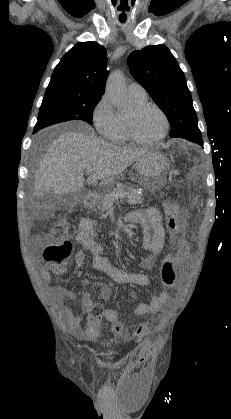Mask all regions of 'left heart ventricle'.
<instances>
[{"instance_id": "1", "label": "left heart ventricle", "mask_w": 231, "mask_h": 419, "mask_svg": "<svg viewBox=\"0 0 231 419\" xmlns=\"http://www.w3.org/2000/svg\"><path fill=\"white\" fill-rule=\"evenodd\" d=\"M135 129L143 139H154L164 130V120L154 109H147L135 117Z\"/></svg>"}]
</instances>
